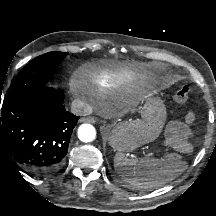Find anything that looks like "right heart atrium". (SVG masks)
Returning <instances> with one entry per match:
<instances>
[{"label": "right heart atrium", "mask_w": 216, "mask_h": 216, "mask_svg": "<svg viewBox=\"0 0 216 216\" xmlns=\"http://www.w3.org/2000/svg\"><path fill=\"white\" fill-rule=\"evenodd\" d=\"M72 87H73V88H75V87H76V85H75V84H73V85H72Z\"/></svg>", "instance_id": "obj_1"}]
</instances>
